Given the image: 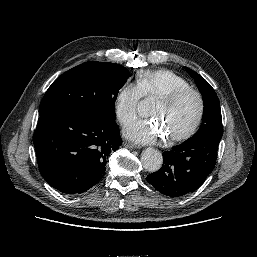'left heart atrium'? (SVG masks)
Segmentation results:
<instances>
[{"label": "left heart atrium", "mask_w": 257, "mask_h": 257, "mask_svg": "<svg viewBox=\"0 0 257 257\" xmlns=\"http://www.w3.org/2000/svg\"><path fill=\"white\" fill-rule=\"evenodd\" d=\"M127 137L142 143H152L163 138L159 126L150 121H137L125 130Z\"/></svg>", "instance_id": "1"}]
</instances>
